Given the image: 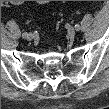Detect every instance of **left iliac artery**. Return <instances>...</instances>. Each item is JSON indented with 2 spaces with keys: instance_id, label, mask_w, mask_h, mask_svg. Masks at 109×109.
Listing matches in <instances>:
<instances>
[{
  "instance_id": "1",
  "label": "left iliac artery",
  "mask_w": 109,
  "mask_h": 109,
  "mask_svg": "<svg viewBox=\"0 0 109 109\" xmlns=\"http://www.w3.org/2000/svg\"><path fill=\"white\" fill-rule=\"evenodd\" d=\"M75 29H76L77 31H79V30H80V26H79L78 24H76V25H75Z\"/></svg>"
}]
</instances>
